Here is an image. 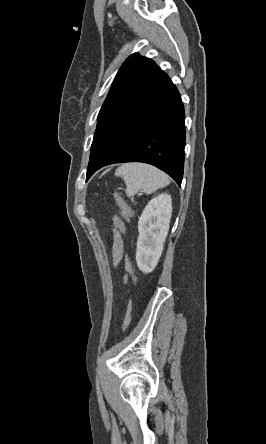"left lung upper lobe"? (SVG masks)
Wrapping results in <instances>:
<instances>
[{
  "instance_id": "1",
  "label": "left lung upper lobe",
  "mask_w": 266,
  "mask_h": 444,
  "mask_svg": "<svg viewBox=\"0 0 266 444\" xmlns=\"http://www.w3.org/2000/svg\"><path fill=\"white\" fill-rule=\"evenodd\" d=\"M167 77L151 59L141 57L138 53L130 55L116 74L101 107L96 131L109 116L144 95Z\"/></svg>"
}]
</instances>
